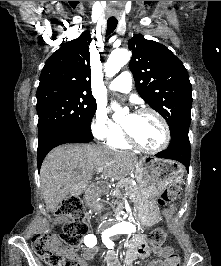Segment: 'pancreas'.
<instances>
[{
	"mask_svg": "<svg viewBox=\"0 0 221 266\" xmlns=\"http://www.w3.org/2000/svg\"><path fill=\"white\" fill-rule=\"evenodd\" d=\"M139 186L133 185L130 178L122 179L116 186L115 190L112 191V196L114 198V203L123 201L124 197L135 198L139 193Z\"/></svg>",
	"mask_w": 221,
	"mask_h": 266,
	"instance_id": "1",
	"label": "pancreas"
}]
</instances>
